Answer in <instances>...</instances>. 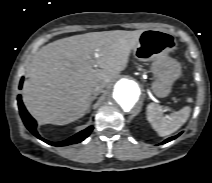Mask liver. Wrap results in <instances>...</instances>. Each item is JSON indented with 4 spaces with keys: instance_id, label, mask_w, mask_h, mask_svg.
Segmentation results:
<instances>
[{
    "instance_id": "1",
    "label": "liver",
    "mask_w": 212,
    "mask_h": 183,
    "mask_svg": "<svg viewBox=\"0 0 212 183\" xmlns=\"http://www.w3.org/2000/svg\"><path fill=\"white\" fill-rule=\"evenodd\" d=\"M143 31L90 32L43 46L28 67L22 89L29 113L42 124L54 125L83 117L93 88L107 86L127 67Z\"/></svg>"
}]
</instances>
